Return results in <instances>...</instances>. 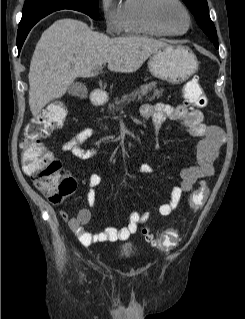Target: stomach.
Here are the masks:
<instances>
[{"instance_id": "obj_1", "label": "stomach", "mask_w": 245, "mask_h": 319, "mask_svg": "<svg viewBox=\"0 0 245 319\" xmlns=\"http://www.w3.org/2000/svg\"><path fill=\"white\" fill-rule=\"evenodd\" d=\"M148 68L155 77L177 84L197 71L198 61L189 48L167 45L151 55Z\"/></svg>"}]
</instances>
